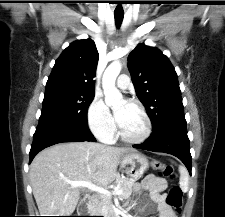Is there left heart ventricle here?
<instances>
[{
    "label": "left heart ventricle",
    "mask_w": 225,
    "mask_h": 217,
    "mask_svg": "<svg viewBox=\"0 0 225 217\" xmlns=\"http://www.w3.org/2000/svg\"><path fill=\"white\" fill-rule=\"evenodd\" d=\"M124 109L123 120L119 124L123 133L130 137L139 136L144 129V120L139 110L124 100H119L115 106V111Z\"/></svg>",
    "instance_id": "obj_1"
}]
</instances>
